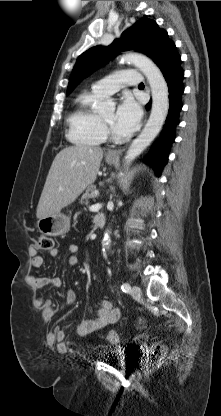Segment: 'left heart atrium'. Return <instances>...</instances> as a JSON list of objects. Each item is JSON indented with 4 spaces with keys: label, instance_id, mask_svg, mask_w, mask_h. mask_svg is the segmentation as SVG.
Returning a JSON list of instances; mask_svg holds the SVG:
<instances>
[{
    "label": "left heart atrium",
    "instance_id": "obj_1",
    "mask_svg": "<svg viewBox=\"0 0 221 416\" xmlns=\"http://www.w3.org/2000/svg\"><path fill=\"white\" fill-rule=\"evenodd\" d=\"M141 108L131 97H125L114 115V128L120 135L134 132L141 119Z\"/></svg>",
    "mask_w": 221,
    "mask_h": 416
}]
</instances>
